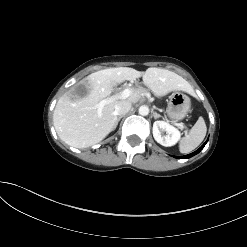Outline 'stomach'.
Masks as SVG:
<instances>
[{"label":"stomach","mask_w":247,"mask_h":247,"mask_svg":"<svg viewBox=\"0 0 247 247\" xmlns=\"http://www.w3.org/2000/svg\"><path fill=\"white\" fill-rule=\"evenodd\" d=\"M190 108V98L181 92H174L169 97L166 112L169 118L178 121L183 119L189 113Z\"/></svg>","instance_id":"1"}]
</instances>
